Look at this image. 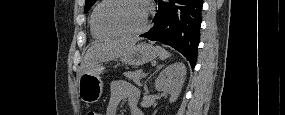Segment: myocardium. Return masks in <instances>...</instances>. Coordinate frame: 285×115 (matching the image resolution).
Returning a JSON list of instances; mask_svg holds the SVG:
<instances>
[{
	"instance_id": "obj_1",
	"label": "myocardium",
	"mask_w": 285,
	"mask_h": 115,
	"mask_svg": "<svg viewBox=\"0 0 285 115\" xmlns=\"http://www.w3.org/2000/svg\"><path fill=\"white\" fill-rule=\"evenodd\" d=\"M116 1H123V0H104V1H101L96 6V8L93 12V21H94L95 25L97 26V28L99 30H101L102 32L112 34L115 36L133 37V36H138V35L143 34L149 27V21H150L151 10H152L149 2L147 0H131V1H137L144 6V9H145L144 24L140 29H138L136 31L125 32V31H121V30H118V29H115V28H112L110 26L103 24L101 19H100V12H101L102 8L106 4H108L110 2H116Z\"/></svg>"
}]
</instances>
